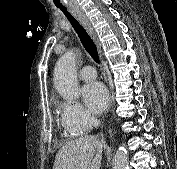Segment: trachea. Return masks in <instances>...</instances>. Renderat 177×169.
I'll return each mask as SVG.
<instances>
[{"label":"trachea","instance_id":"3493384b","mask_svg":"<svg viewBox=\"0 0 177 169\" xmlns=\"http://www.w3.org/2000/svg\"><path fill=\"white\" fill-rule=\"evenodd\" d=\"M60 10L64 13L67 19L70 21L73 26L75 32L79 36L82 45L85 50L89 53V55L93 58L96 63H99V55L97 51V47L92 41L91 37L88 35L86 30L81 26V24L73 17L64 7H59Z\"/></svg>","mask_w":177,"mask_h":169}]
</instances>
